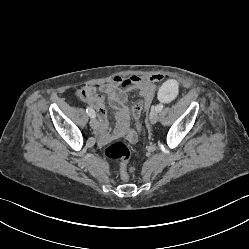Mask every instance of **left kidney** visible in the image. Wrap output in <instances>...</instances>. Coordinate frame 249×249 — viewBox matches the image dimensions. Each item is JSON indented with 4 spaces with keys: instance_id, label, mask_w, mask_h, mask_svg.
Segmentation results:
<instances>
[{
    "instance_id": "5707ae66",
    "label": "left kidney",
    "mask_w": 249,
    "mask_h": 249,
    "mask_svg": "<svg viewBox=\"0 0 249 249\" xmlns=\"http://www.w3.org/2000/svg\"><path fill=\"white\" fill-rule=\"evenodd\" d=\"M179 90L180 85L176 80L165 79L156 90V97L165 105H172L176 101Z\"/></svg>"
}]
</instances>
